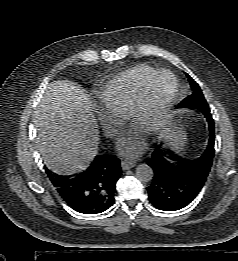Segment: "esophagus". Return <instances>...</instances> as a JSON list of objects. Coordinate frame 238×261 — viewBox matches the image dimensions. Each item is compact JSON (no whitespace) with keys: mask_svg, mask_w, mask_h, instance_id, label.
I'll return each mask as SVG.
<instances>
[{"mask_svg":"<svg viewBox=\"0 0 238 261\" xmlns=\"http://www.w3.org/2000/svg\"><path fill=\"white\" fill-rule=\"evenodd\" d=\"M136 165V163L134 161H129V160H123L121 162V167L122 170H128L133 168Z\"/></svg>","mask_w":238,"mask_h":261,"instance_id":"esophagus-1","label":"esophagus"}]
</instances>
